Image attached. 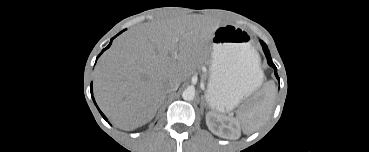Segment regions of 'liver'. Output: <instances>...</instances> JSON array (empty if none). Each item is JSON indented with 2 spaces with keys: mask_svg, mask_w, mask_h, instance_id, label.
<instances>
[{
  "mask_svg": "<svg viewBox=\"0 0 369 152\" xmlns=\"http://www.w3.org/2000/svg\"><path fill=\"white\" fill-rule=\"evenodd\" d=\"M218 24L199 18L145 23L119 37L95 67L98 105L118 128L151 121L170 80L183 82L207 57Z\"/></svg>",
  "mask_w": 369,
  "mask_h": 152,
  "instance_id": "1",
  "label": "liver"
}]
</instances>
